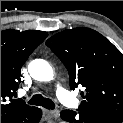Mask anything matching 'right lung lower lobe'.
Masks as SVG:
<instances>
[{"instance_id": "right-lung-lower-lobe-1", "label": "right lung lower lobe", "mask_w": 123, "mask_h": 123, "mask_svg": "<svg viewBox=\"0 0 123 123\" xmlns=\"http://www.w3.org/2000/svg\"><path fill=\"white\" fill-rule=\"evenodd\" d=\"M42 111L37 107L17 113L6 123H38L41 119Z\"/></svg>"}]
</instances>
